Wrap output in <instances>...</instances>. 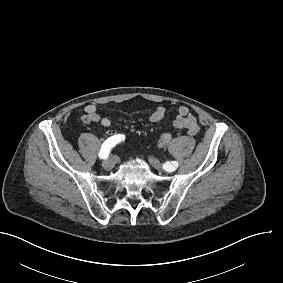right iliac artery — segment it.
Wrapping results in <instances>:
<instances>
[{"label":"right iliac artery","mask_w":283,"mask_h":283,"mask_svg":"<svg viewBox=\"0 0 283 283\" xmlns=\"http://www.w3.org/2000/svg\"><path fill=\"white\" fill-rule=\"evenodd\" d=\"M125 139L124 135H114L109 137L101 146L99 157L101 159H106L109 155L110 150L117 145L119 142Z\"/></svg>","instance_id":"82829eb1"}]
</instances>
